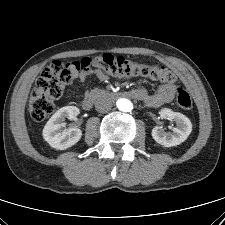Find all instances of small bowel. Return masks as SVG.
I'll return each instance as SVG.
<instances>
[{
    "mask_svg": "<svg viewBox=\"0 0 225 225\" xmlns=\"http://www.w3.org/2000/svg\"><path fill=\"white\" fill-rule=\"evenodd\" d=\"M71 77L75 81H85L90 77H96L100 81L108 79L107 74L100 69H75L71 70ZM176 92V86L171 83L162 84L159 86L154 94L148 93L145 89H138L135 91V97L144 101L150 107H158L170 102Z\"/></svg>",
    "mask_w": 225,
    "mask_h": 225,
    "instance_id": "small-bowel-1",
    "label": "small bowel"
}]
</instances>
